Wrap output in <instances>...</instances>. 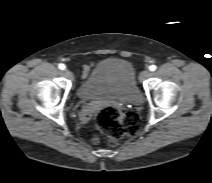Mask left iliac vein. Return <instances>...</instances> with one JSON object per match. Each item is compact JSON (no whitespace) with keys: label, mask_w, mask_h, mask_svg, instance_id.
Segmentation results:
<instances>
[{"label":"left iliac vein","mask_w":212,"mask_h":183,"mask_svg":"<svg viewBox=\"0 0 212 183\" xmlns=\"http://www.w3.org/2000/svg\"><path fill=\"white\" fill-rule=\"evenodd\" d=\"M150 76L149 70H143L140 74V80H145Z\"/></svg>","instance_id":"1"}]
</instances>
